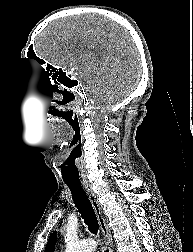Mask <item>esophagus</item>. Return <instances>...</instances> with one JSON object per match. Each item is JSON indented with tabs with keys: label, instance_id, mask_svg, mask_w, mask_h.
<instances>
[{
	"label": "esophagus",
	"instance_id": "obj_1",
	"mask_svg": "<svg viewBox=\"0 0 193 252\" xmlns=\"http://www.w3.org/2000/svg\"><path fill=\"white\" fill-rule=\"evenodd\" d=\"M83 188H84V190H85V192H86V194H87V196L93 206V209L95 211L101 233L103 234V237L105 240L107 250H108V252H113L111 231L107 225V222L104 217L102 207L98 201V198H97V196H96L95 192L93 191V188L90 184H88V183L83 184Z\"/></svg>",
	"mask_w": 193,
	"mask_h": 252
}]
</instances>
